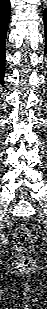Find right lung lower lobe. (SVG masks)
I'll return each mask as SVG.
<instances>
[{
    "label": "right lung lower lobe",
    "mask_w": 47,
    "mask_h": 309,
    "mask_svg": "<svg viewBox=\"0 0 47 309\" xmlns=\"http://www.w3.org/2000/svg\"><path fill=\"white\" fill-rule=\"evenodd\" d=\"M10 15V0H0V82L4 84L5 38Z\"/></svg>",
    "instance_id": "1"
}]
</instances>
